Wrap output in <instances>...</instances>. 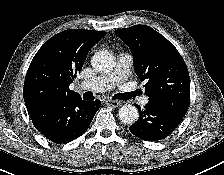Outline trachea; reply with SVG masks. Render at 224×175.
<instances>
[{
  "mask_svg": "<svg viewBox=\"0 0 224 175\" xmlns=\"http://www.w3.org/2000/svg\"><path fill=\"white\" fill-rule=\"evenodd\" d=\"M138 92H132V93H123V94H117L114 96V99H119V100H128L134 96H137Z\"/></svg>",
  "mask_w": 224,
  "mask_h": 175,
  "instance_id": "obj_1",
  "label": "trachea"
}]
</instances>
